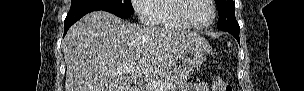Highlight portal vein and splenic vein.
<instances>
[{
  "label": "portal vein and splenic vein",
  "instance_id": "obj_1",
  "mask_svg": "<svg viewBox=\"0 0 304 91\" xmlns=\"http://www.w3.org/2000/svg\"><path fill=\"white\" fill-rule=\"evenodd\" d=\"M116 74H131L137 79L141 78V74L136 71L135 65L123 66L116 70ZM148 86L155 89V91H166L167 89L172 88L169 84L163 83L160 80H151L148 82Z\"/></svg>",
  "mask_w": 304,
  "mask_h": 91
}]
</instances>
